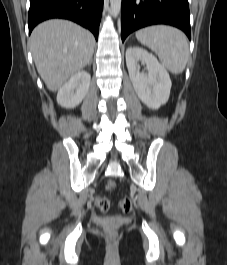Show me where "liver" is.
Listing matches in <instances>:
<instances>
[{
  "mask_svg": "<svg viewBox=\"0 0 227 265\" xmlns=\"http://www.w3.org/2000/svg\"><path fill=\"white\" fill-rule=\"evenodd\" d=\"M94 45L91 32L62 19L39 24L30 36L37 71L51 91L58 90L91 61Z\"/></svg>",
  "mask_w": 227,
  "mask_h": 265,
  "instance_id": "1",
  "label": "liver"
}]
</instances>
